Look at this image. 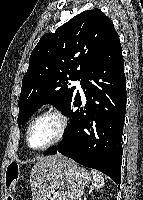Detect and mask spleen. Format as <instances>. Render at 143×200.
Returning a JSON list of instances; mask_svg holds the SVG:
<instances>
[{
	"mask_svg": "<svg viewBox=\"0 0 143 200\" xmlns=\"http://www.w3.org/2000/svg\"><path fill=\"white\" fill-rule=\"evenodd\" d=\"M92 176H93V181H94V186L97 189H100L101 187L104 186V178L100 173H98L96 170H91Z\"/></svg>",
	"mask_w": 143,
	"mask_h": 200,
	"instance_id": "obj_1",
	"label": "spleen"
}]
</instances>
